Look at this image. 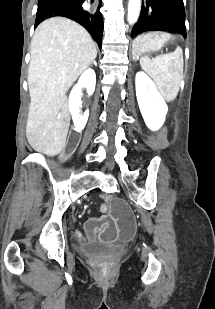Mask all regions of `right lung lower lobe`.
Listing matches in <instances>:
<instances>
[{
  "label": "right lung lower lobe",
  "mask_w": 215,
  "mask_h": 309,
  "mask_svg": "<svg viewBox=\"0 0 215 309\" xmlns=\"http://www.w3.org/2000/svg\"><path fill=\"white\" fill-rule=\"evenodd\" d=\"M83 2L84 0H42L38 2L35 28L48 18L66 17L84 26L101 48L103 35V18L99 11L101 2L95 14L84 12L82 9Z\"/></svg>",
  "instance_id": "right-lung-lower-lobe-1"
}]
</instances>
